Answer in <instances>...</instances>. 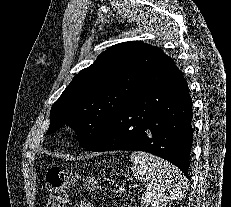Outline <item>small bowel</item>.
<instances>
[{"mask_svg":"<svg viewBox=\"0 0 231 207\" xmlns=\"http://www.w3.org/2000/svg\"><path fill=\"white\" fill-rule=\"evenodd\" d=\"M74 207H94V206L87 201H79Z\"/></svg>","mask_w":231,"mask_h":207,"instance_id":"obj_1","label":"small bowel"}]
</instances>
